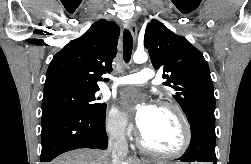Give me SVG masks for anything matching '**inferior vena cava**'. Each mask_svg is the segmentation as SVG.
I'll use <instances>...</instances> for the list:
<instances>
[{
	"label": "inferior vena cava",
	"instance_id": "obj_1",
	"mask_svg": "<svg viewBox=\"0 0 251 164\" xmlns=\"http://www.w3.org/2000/svg\"><path fill=\"white\" fill-rule=\"evenodd\" d=\"M124 128L125 124L122 123L119 128L110 135L108 150L111 152L113 164H123L128 154V144Z\"/></svg>",
	"mask_w": 251,
	"mask_h": 164
}]
</instances>
